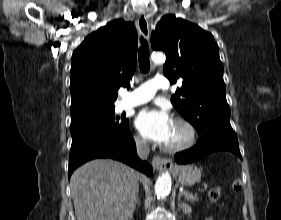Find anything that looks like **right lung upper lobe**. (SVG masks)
Masks as SVG:
<instances>
[{
    "label": "right lung upper lobe",
    "mask_w": 281,
    "mask_h": 220,
    "mask_svg": "<svg viewBox=\"0 0 281 220\" xmlns=\"http://www.w3.org/2000/svg\"><path fill=\"white\" fill-rule=\"evenodd\" d=\"M137 58V32L117 19L91 33L73 52L71 119L115 108L117 90L130 87Z\"/></svg>",
    "instance_id": "cb5924a9"
}]
</instances>
